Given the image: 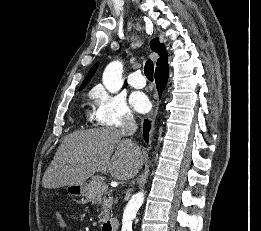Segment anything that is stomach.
Returning <instances> with one entry per match:
<instances>
[{
	"instance_id": "obj_1",
	"label": "stomach",
	"mask_w": 261,
	"mask_h": 231,
	"mask_svg": "<svg viewBox=\"0 0 261 231\" xmlns=\"http://www.w3.org/2000/svg\"><path fill=\"white\" fill-rule=\"evenodd\" d=\"M86 187L85 183L69 185L67 191L73 196H83L86 193Z\"/></svg>"
}]
</instances>
